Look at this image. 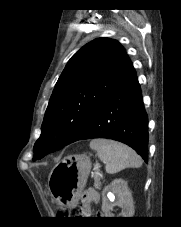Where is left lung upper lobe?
<instances>
[{"label": "left lung upper lobe", "instance_id": "left-lung-upper-lobe-1", "mask_svg": "<svg viewBox=\"0 0 181 227\" xmlns=\"http://www.w3.org/2000/svg\"><path fill=\"white\" fill-rule=\"evenodd\" d=\"M125 49L116 40L98 38L77 51L67 63L51 95L34 145L33 160L77 141L89 128L97 110L133 70ZM72 134L54 139L62 127Z\"/></svg>", "mask_w": 181, "mask_h": 227}]
</instances>
